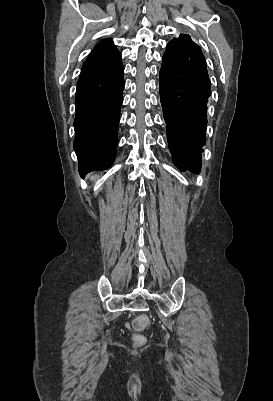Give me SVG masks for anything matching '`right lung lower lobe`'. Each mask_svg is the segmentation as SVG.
Here are the masks:
<instances>
[{
  "mask_svg": "<svg viewBox=\"0 0 273 401\" xmlns=\"http://www.w3.org/2000/svg\"><path fill=\"white\" fill-rule=\"evenodd\" d=\"M121 58L113 64L79 77L76 89L74 150L79 173L112 166L117 152V126L124 89Z\"/></svg>",
  "mask_w": 273,
  "mask_h": 401,
  "instance_id": "1",
  "label": "right lung lower lobe"
}]
</instances>
